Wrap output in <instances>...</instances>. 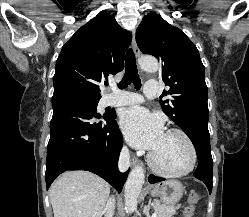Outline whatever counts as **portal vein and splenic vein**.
<instances>
[{"instance_id":"portal-vein-and-splenic-vein-1","label":"portal vein and splenic vein","mask_w":249,"mask_h":217,"mask_svg":"<svg viewBox=\"0 0 249 217\" xmlns=\"http://www.w3.org/2000/svg\"><path fill=\"white\" fill-rule=\"evenodd\" d=\"M151 217H157L156 213L154 212Z\"/></svg>"}]
</instances>
